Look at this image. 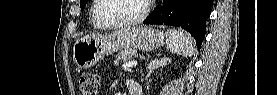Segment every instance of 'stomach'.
Returning <instances> with one entry per match:
<instances>
[{"label":"stomach","mask_w":277,"mask_h":95,"mask_svg":"<svg viewBox=\"0 0 277 95\" xmlns=\"http://www.w3.org/2000/svg\"><path fill=\"white\" fill-rule=\"evenodd\" d=\"M165 42L164 33L151 26H137L116 31L109 35L84 36L73 46V61L80 69L94 66L106 54L120 49L133 48L150 52Z\"/></svg>","instance_id":"1"}]
</instances>
